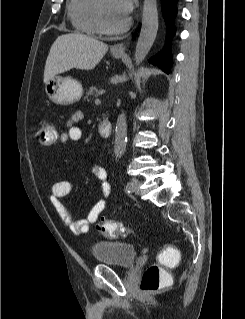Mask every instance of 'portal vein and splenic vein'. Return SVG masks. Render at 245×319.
Instances as JSON below:
<instances>
[{
  "mask_svg": "<svg viewBox=\"0 0 245 319\" xmlns=\"http://www.w3.org/2000/svg\"><path fill=\"white\" fill-rule=\"evenodd\" d=\"M100 102H101V101H100V99H98V98L95 100V103H96V104H99Z\"/></svg>",
  "mask_w": 245,
  "mask_h": 319,
  "instance_id": "portal-vein-and-splenic-vein-1",
  "label": "portal vein and splenic vein"
}]
</instances>
